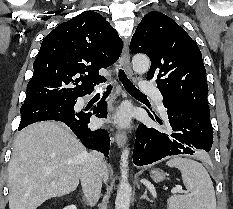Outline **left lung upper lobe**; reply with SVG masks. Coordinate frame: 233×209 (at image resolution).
I'll list each match as a JSON object with an SVG mask.
<instances>
[{
  "label": "left lung upper lobe",
  "instance_id": "1",
  "mask_svg": "<svg viewBox=\"0 0 233 209\" xmlns=\"http://www.w3.org/2000/svg\"><path fill=\"white\" fill-rule=\"evenodd\" d=\"M130 49L151 59L147 80L156 79L167 107L189 108L210 118L200 49L172 18L155 11L146 14L132 37Z\"/></svg>",
  "mask_w": 233,
  "mask_h": 209
}]
</instances>
